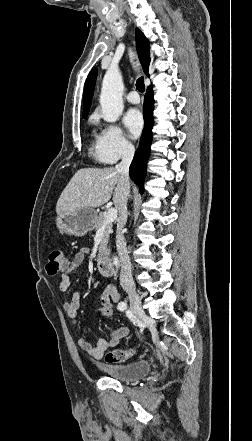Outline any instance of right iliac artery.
<instances>
[{"instance_id": "82829eb1", "label": "right iliac artery", "mask_w": 252, "mask_h": 441, "mask_svg": "<svg viewBox=\"0 0 252 441\" xmlns=\"http://www.w3.org/2000/svg\"><path fill=\"white\" fill-rule=\"evenodd\" d=\"M118 309L120 311H124L125 309H127V304L125 302H121L118 304Z\"/></svg>"}]
</instances>
